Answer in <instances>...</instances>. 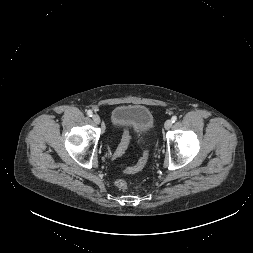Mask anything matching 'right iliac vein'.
Listing matches in <instances>:
<instances>
[{
  "instance_id": "1",
  "label": "right iliac vein",
  "mask_w": 253,
  "mask_h": 253,
  "mask_svg": "<svg viewBox=\"0 0 253 253\" xmlns=\"http://www.w3.org/2000/svg\"><path fill=\"white\" fill-rule=\"evenodd\" d=\"M93 121L95 124H99L100 123V117L97 114H94L92 117Z\"/></svg>"
}]
</instances>
